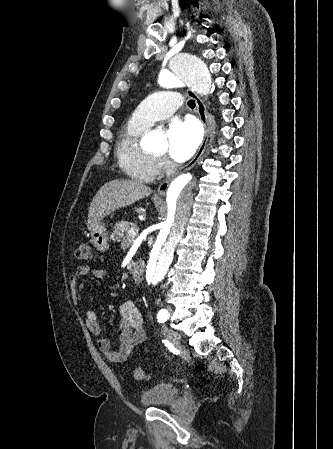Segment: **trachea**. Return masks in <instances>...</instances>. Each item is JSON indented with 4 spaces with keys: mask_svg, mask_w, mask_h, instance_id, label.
<instances>
[{
    "mask_svg": "<svg viewBox=\"0 0 333 449\" xmlns=\"http://www.w3.org/2000/svg\"><path fill=\"white\" fill-rule=\"evenodd\" d=\"M188 106H189L190 108H194V107H195V100H189V101H188Z\"/></svg>",
    "mask_w": 333,
    "mask_h": 449,
    "instance_id": "3493384b",
    "label": "trachea"
}]
</instances>
